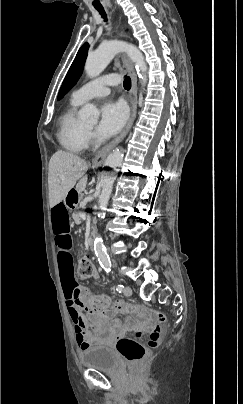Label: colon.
I'll use <instances>...</instances> for the list:
<instances>
[{"label":"colon","mask_w":243,"mask_h":404,"mask_svg":"<svg viewBox=\"0 0 243 404\" xmlns=\"http://www.w3.org/2000/svg\"><path fill=\"white\" fill-rule=\"evenodd\" d=\"M78 271L82 279L95 276L94 267L87 256L80 257ZM79 304L98 317H107L114 312H128L134 315H142L146 312L142 305L125 303L118 299H112L105 294L91 293L85 299L80 298ZM154 315L159 323L166 322V316L163 312L155 311ZM147 337L148 341L145 344L138 339H120L117 343V349L129 362L138 363L147 355L149 350L155 349L160 344V327L151 328Z\"/></svg>","instance_id":"obj_1"}]
</instances>
